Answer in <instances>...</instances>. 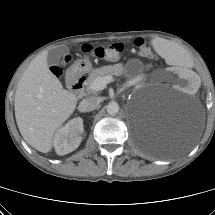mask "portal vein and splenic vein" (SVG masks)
<instances>
[{
	"mask_svg": "<svg viewBox=\"0 0 215 215\" xmlns=\"http://www.w3.org/2000/svg\"><path fill=\"white\" fill-rule=\"evenodd\" d=\"M112 81H113V77L111 75L99 77L91 83L90 88L94 91H101L106 87L108 83Z\"/></svg>",
	"mask_w": 215,
	"mask_h": 215,
	"instance_id": "18ae733b",
	"label": "portal vein and splenic vein"
}]
</instances>
